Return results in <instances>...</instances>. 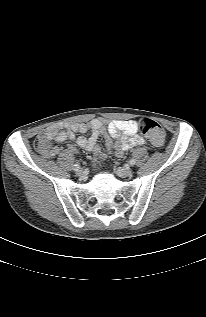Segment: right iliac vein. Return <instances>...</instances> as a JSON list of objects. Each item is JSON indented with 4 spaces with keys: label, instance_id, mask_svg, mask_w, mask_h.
<instances>
[{
    "label": "right iliac vein",
    "instance_id": "obj_1",
    "mask_svg": "<svg viewBox=\"0 0 206 317\" xmlns=\"http://www.w3.org/2000/svg\"><path fill=\"white\" fill-rule=\"evenodd\" d=\"M76 175L79 176V177H83V176H85V173H84V171L82 169H78L76 171Z\"/></svg>",
    "mask_w": 206,
    "mask_h": 317
}]
</instances>
